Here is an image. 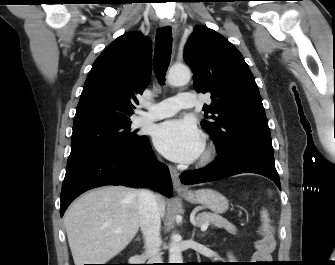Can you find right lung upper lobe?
<instances>
[{
  "label": "right lung upper lobe",
  "mask_w": 335,
  "mask_h": 265,
  "mask_svg": "<svg viewBox=\"0 0 335 265\" xmlns=\"http://www.w3.org/2000/svg\"><path fill=\"white\" fill-rule=\"evenodd\" d=\"M151 45L139 33H127L108 45L84 83L73 127L96 122L130 121L137 94L151 78Z\"/></svg>",
  "instance_id": "obj_1"
}]
</instances>
